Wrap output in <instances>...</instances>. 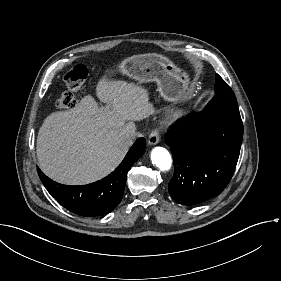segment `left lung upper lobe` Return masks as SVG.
I'll return each mask as SVG.
<instances>
[{
	"instance_id": "5c2ea615",
	"label": "left lung upper lobe",
	"mask_w": 281,
	"mask_h": 281,
	"mask_svg": "<svg viewBox=\"0 0 281 281\" xmlns=\"http://www.w3.org/2000/svg\"><path fill=\"white\" fill-rule=\"evenodd\" d=\"M232 106L237 107V100L232 89L216 74L215 96L206 107Z\"/></svg>"
}]
</instances>
